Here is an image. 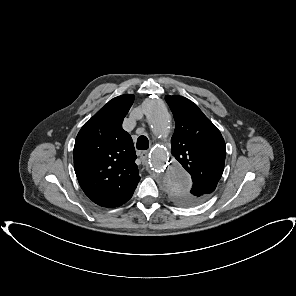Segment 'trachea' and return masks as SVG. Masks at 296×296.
<instances>
[{"label": "trachea", "mask_w": 296, "mask_h": 296, "mask_svg": "<svg viewBox=\"0 0 296 296\" xmlns=\"http://www.w3.org/2000/svg\"><path fill=\"white\" fill-rule=\"evenodd\" d=\"M136 147L139 150H147L149 148L148 138L144 135H141L137 140Z\"/></svg>", "instance_id": "obj_1"}]
</instances>
